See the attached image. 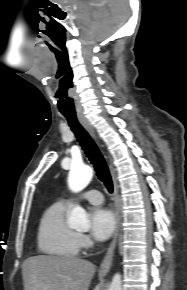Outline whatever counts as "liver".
<instances>
[{"label": "liver", "mask_w": 187, "mask_h": 290, "mask_svg": "<svg viewBox=\"0 0 187 290\" xmlns=\"http://www.w3.org/2000/svg\"><path fill=\"white\" fill-rule=\"evenodd\" d=\"M24 290H88L95 265L76 257L38 255L22 264ZM94 290H101V284Z\"/></svg>", "instance_id": "6515ba94"}]
</instances>
